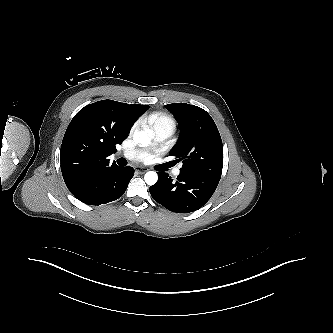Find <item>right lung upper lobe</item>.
<instances>
[{
  "mask_svg": "<svg viewBox=\"0 0 333 333\" xmlns=\"http://www.w3.org/2000/svg\"><path fill=\"white\" fill-rule=\"evenodd\" d=\"M148 108V105L102 100L85 106L74 116L60 151L63 179L71 193L89 176L116 166L109 156Z\"/></svg>",
  "mask_w": 333,
  "mask_h": 333,
  "instance_id": "1",
  "label": "right lung upper lobe"
}]
</instances>
